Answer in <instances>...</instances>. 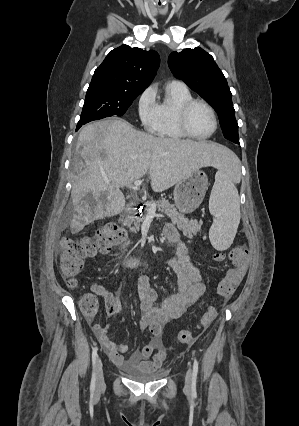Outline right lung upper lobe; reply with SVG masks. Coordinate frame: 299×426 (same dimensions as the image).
Segmentation results:
<instances>
[{"label":"right lung upper lobe","instance_id":"obj_1","mask_svg":"<svg viewBox=\"0 0 299 426\" xmlns=\"http://www.w3.org/2000/svg\"><path fill=\"white\" fill-rule=\"evenodd\" d=\"M159 64L157 52L122 45L112 50L95 70L90 86L143 92L154 79Z\"/></svg>","mask_w":299,"mask_h":426}]
</instances>
